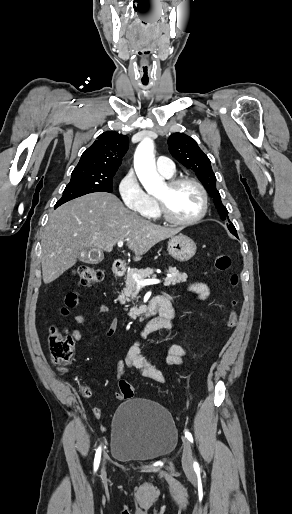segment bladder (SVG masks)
<instances>
[{
	"instance_id": "31cf9c89",
	"label": "bladder",
	"mask_w": 292,
	"mask_h": 514,
	"mask_svg": "<svg viewBox=\"0 0 292 514\" xmlns=\"http://www.w3.org/2000/svg\"><path fill=\"white\" fill-rule=\"evenodd\" d=\"M177 442L175 422L164 406L135 398L124 401L116 409L111 426V453L115 459L158 460L172 452Z\"/></svg>"
}]
</instances>
